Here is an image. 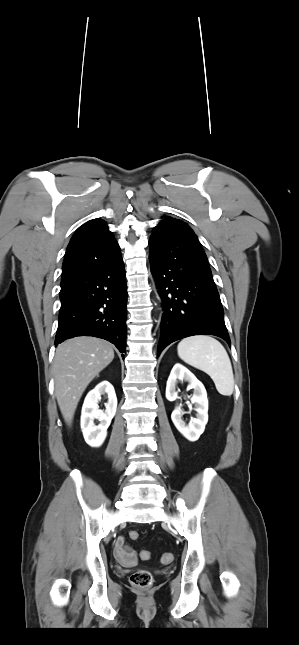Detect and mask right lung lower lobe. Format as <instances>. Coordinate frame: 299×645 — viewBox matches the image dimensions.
Masks as SVG:
<instances>
[{
	"mask_svg": "<svg viewBox=\"0 0 299 645\" xmlns=\"http://www.w3.org/2000/svg\"><path fill=\"white\" fill-rule=\"evenodd\" d=\"M60 300L55 345L76 336H94L125 352L127 286L121 255L61 287Z\"/></svg>",
	"mask_w": 299,
	"mask_h": 645,
	"instance_id": "1",
	"label": "right lung lower lobe"
}]
</instances>
